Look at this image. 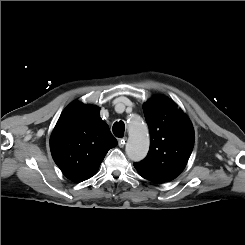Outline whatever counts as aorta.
<instances>
[{
	"label": "aorta",
	"mask_w": 245,
	"mask_h": 245,
	"mask_svg": "<svg viewBox=\"0 0 245 245\" xmlns=\"http://www.w3.org/2000/svg\"><path fill=\"white\" fill-rule=\"evenodd\" d=\"M128 135L126 144L128 158L136 162L144 159L149 150V134L146 123L137 114L128 119Z\"/></svg>",
	"instance_id": "aorta-1"
}]
</instances>
